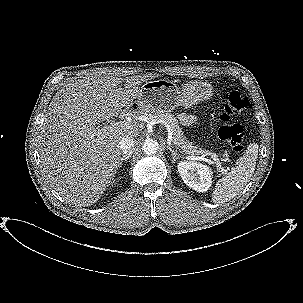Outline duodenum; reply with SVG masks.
<instances>
[{"label": "duodenum", "instance_id": "1", "mask_svg": "<svg viewBox=\"0 0 303 303\" xmlns=\"http://www.w3.org/2000/svg\"><path fill=\"white\" fill-rule=\"evenodd\" d=\"M131 111V109H127L124 113H123V117L126 115V114H128L129 112Z\"/></svg>", "mask_w": 303, "mask_h": 303}]
</instances>
